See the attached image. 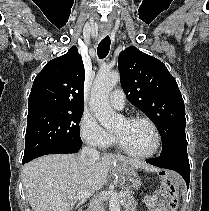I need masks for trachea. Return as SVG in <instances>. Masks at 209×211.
Returning <instances> with one entry per match:
<instances>
[{"instance_id": "obj_1", "label": "trachea", "mask_w": 209, "mask_h": 211, "mask_svg": "<svg viewBox=\"0 0 209 211\" xmlns=\"http://www.w3.org/2000/svg\"><path fill=\"white\" fill-rule=\"evenodd\" d=\"M110 43L111 41H110L109 36H106L105 38H103L101 42L99 43L98 48H97V53L100 59H103L108 55L109 49H110Z\"/></svg>"}]
</instances>
